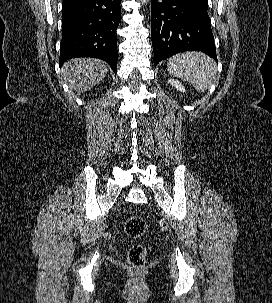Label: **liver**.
<instances>
[{
  "label": "liver",
  "instance_id": "6515ba94",
  "mask_svg": "<svg viewBox=\"0 0 272 303\" xmlns=\"http://www.w3.org/2000/svg\"><path fill=\"white\" fill-rule=\"evenodd\" d=\"M108 72V64L99 59L75 58L62 67L63 79L76 92H86L100 83Z\"/></svg>",
  "mask_w": 272,
  "mask_h": 303
}]
</instances>
